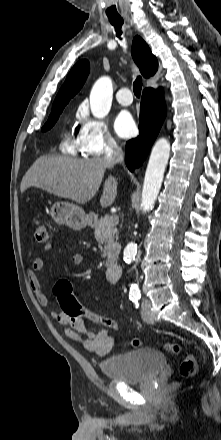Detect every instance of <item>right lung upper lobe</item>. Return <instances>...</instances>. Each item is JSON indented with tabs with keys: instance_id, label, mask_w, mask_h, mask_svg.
Wrapping results in <instances>:
<instances>
[{
	"instance_id": "cb5924a9",
	"label": "right lung upper lobe",
	"mask_w": 221,
	"mask_h": 440,
	"mask_svg": "<svg viewBox=\"0 0 221 440\" xmlns=\"http://www.w3.org/2000/svg\"><path fill=\"white\" fill-rule=\"evenodd\" d=\"M132 56L138 65L141 74L148 78L157 71L158 62L152 54L146 42L139 36L133 39ZM89 62L81 60L77 62L69 72L63 86L60 88L54 102L53 108L66 106L69 100L81 89L89 74Z\"/></svg>"
}]
</instances>
